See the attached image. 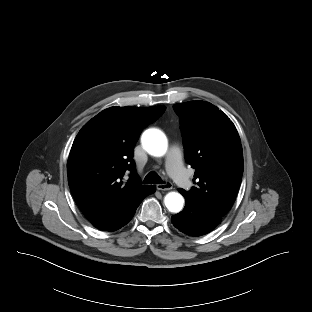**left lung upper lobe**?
<instances>
[{"mask_svg": "<svg viewBox=\"0 0 312 312\" xmlns=\"http://www.w3.org/2000/svg\"><path fill=\"white\" fill-rule=\"evenodd\" d=\"M180 116L185 158L196 169L195 186L179 189L185 200L223 217L231 208L243 174L238 132L227 115L205 101L173 106Z\"/></svg>", "mask_w": 312, "mask_h": 312, "instance_id": "obj_1", "label": "left lung upper lobe"}]
</instances>
